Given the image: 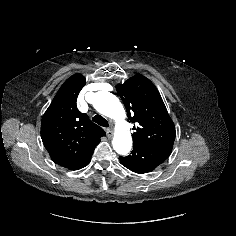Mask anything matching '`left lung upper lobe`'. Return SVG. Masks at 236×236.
<instances>
[{"instance_id":"5c2ea615","label":"left lung upper lobe","mask_w":236,"mask_h":236,"mask_svg":"<svg viewBox=\"0 0 236 236\" xmlns=\"http://www.w3.org/2000/svg\"><path fill=\"white\" fill-rule=\"evenodd\" d=\"M116 90L127 116L134 123L133 144L173 146L175 126L155 85L146 77L133 76Z\"/></svg>"}]
</instances>
